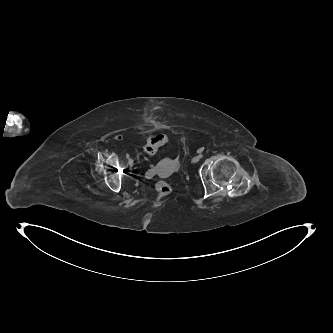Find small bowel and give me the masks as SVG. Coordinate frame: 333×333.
Returning a JSON list of instances; mask_svg holds the SVG:
<instances>
[{"mask_svg":"<svg viewBox=\"0 0 333 333\" xmlns=\"http://www.w3.org/2000/svg\"><path fill=\"white\" fill-rule=\"evenodd\" d=\"M158 172H157V167H153L152 169H150L148 172H147V176L148 177H153L155 175H157Z\"/></svg>","mask_w":333,"mask_h":333,"instance_id":"obj_1","label":"small bowel"}]
</instances>
